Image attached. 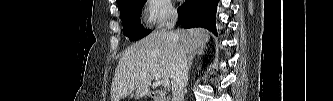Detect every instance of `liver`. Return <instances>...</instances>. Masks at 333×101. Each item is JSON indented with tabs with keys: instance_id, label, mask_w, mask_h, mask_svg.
I'll use <instances>...</instances> for the list:
<instances>
[{
	"instance_id": "6515ba94",
	"label": "liver",
	"mask_w": 333,
	"mask_h": 101,
	"mask_svg": "<svg viewBox=\"0 0 333 101\" xmlns=\"http://www.w3.org/2000/svg\"><path fill=\"white\" fill-rule=\"evenodd\" d=\"M210 33L201 28L176 32L157 30L130 46L120 59L111 84V101H121L136 90V98L147 95L153 75L172 79L179 44L186 54L203 47Z\"/></svg>"
}]
</instances>
